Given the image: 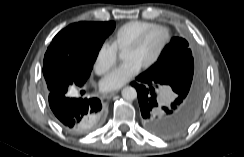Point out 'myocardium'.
I'll use <instances>...</instances> for the list:
<instances>
[{"instance_id": "f54148a6", "label": "myocardium", "mask_w": 244, "mask_h": 157, "mask_svg": "<svg viewBox=\"0 0 244 157\" xmlns=\"http://www.w3.org/2000/svg\"><path fill=\"white\" fill-rule=\"evenodd\" d=\"M162 31L165 34V39L164 42L161 46V48L159 49L158 53L147 63H145L143 66H141L143 69H149L151 67H153L155 64H157L160 59L163 57L165 51L167 50L169 44L171 43L172 40V33L171 30L166 27V26H162V25H155L145 31H143L142 33H140L126 48L125 50H134L137 49L138 47H140L142 45V43L145 41V39L154 31ZM124 50V51H125Z\"/></svg>"}]
</instances>
